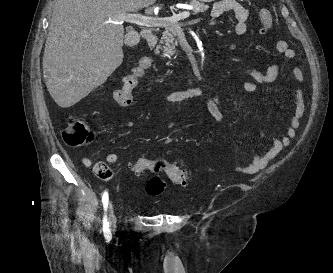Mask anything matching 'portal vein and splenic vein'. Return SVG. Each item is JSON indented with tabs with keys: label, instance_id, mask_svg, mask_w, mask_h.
Segmentation results:
<instances>
[{
	"label": "portal vein and splenic vein",
	"instance_id": "18ae733b",
	"mask_svg": "<svg viewBox=\"0 0 333 273\" xmlns=\"http://www.w3.org/2000/svg\"><path fill=\"white\" fill-rule=\"evenodd\" d=\"M189 16H190L189 11H184L179 14H175L171 17H166V18L143 16L141 14H126L115 18L114 21L112 22L113 23L127 22L145 27H166L169 24H175L179 20L186 19Z\"/></svg>",
	"mask_w": 333,
	"mask_h": 273
}]
</instances>
